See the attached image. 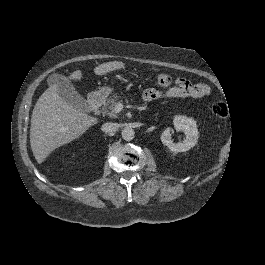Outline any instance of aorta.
I'll return each instance as SVG.
<instances>
[{"label": "aorta", "mask_w": 265, "mask_h": 265, "mask_svg": "<svg viewBox=\"0 0 265 265\" xmlns=\"http://www.w3.org/2000/svg\"><path fill=\"white\" fill-rule=\"evenodd\" d=\"M121 134H122V138L125 141H131L134 139V136H135V132L132 128H124Z\"/></svg>", "instance_id": "762f6f07"}]
</instances>
